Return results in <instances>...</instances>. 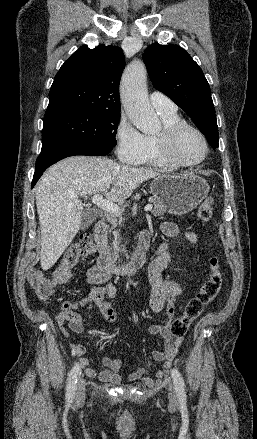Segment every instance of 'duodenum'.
<instances>
[{"label": "duodenum", "mask_w": 257, "mask_h": 439, "mask_svg": "<svg viewBox=\"0 0 257 439\" xmlns=\"http://www.w3.org/2000/svg\"><path fill=\"white\" fill-rule=\"evenodd\" d=\"M95 243L99 249L97 267L105 273H112L119 276L133 274L138 271L145 262V255L149 249L148 240H140L130 260L125 264H115L107 249V223L100 221L94 230Z\"/></svg>", "instance_id": "duodenum-1"}]
</instances>
